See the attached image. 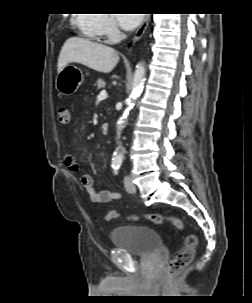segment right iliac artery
I'll use <instances>...</instances> for the list:
<instances>
[{
    "label": "right iliac artery",
    "instance_id": "right-iliac-artery-1",
    "mask_svg": "<svg viewBox=\"0 0 252 303\" xmlns=\"http://www.w3.org/2000/svg\"><path fill=\"white\" fill-rule=\"evenodd\" d=\"M112 168L114 170V173L117 174V171H118L119 167L116 166V165H113Z\"/></svg>",
    "mask_w": 252,
    "mask_h": 303
}]
</instances>
